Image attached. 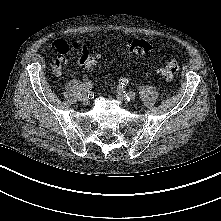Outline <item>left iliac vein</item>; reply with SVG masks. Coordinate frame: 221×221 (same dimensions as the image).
<instances>
[{"instance_id": "1", "label": "left iliac vein", "mask_w": 221, "mask_h": 221, "mask_svg": "<svg viewBox=\"0 0 221 221\" xmlns=\"http://www.w3.org/2000/svg\"><path fill=\"white\" fill-rule=\"evenodd\" d=\"M126 96H127V98H128L129 100H134V99L136 98V93L133 92V91H128V92L126 93Z\"/></svg>"}]
</instances>
